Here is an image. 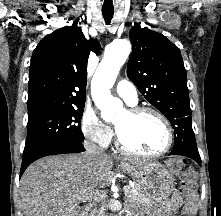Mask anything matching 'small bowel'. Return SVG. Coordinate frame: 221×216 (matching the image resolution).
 Wrapping results in <instances>:
<instances>
[{
  "mask_svg": "<svg viewBox=\"0 0 221 216\" xmlns=\"http://www.w3.org/2000/svg\"><path fill=\"white\" fill-rule=\"evenodd\" d=\"M196 199H187L179 192H175L171 199L163 206L159 216H174L179 210L180 216H194L196 213Z\"/></svg>",
  "mask_w": 221,
  "mask_h": 216,
  "instance_id": "obj_1",
  "label": "small bowel"
}]
</instances>
